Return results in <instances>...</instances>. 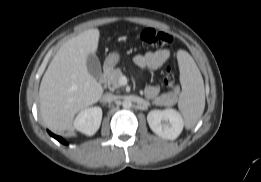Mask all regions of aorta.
<instances>
[{
  "mask_svg": "<svg viewBox=\"0 0 261 182\" xmlns=\"http://www.w3.org/2000/svg\"><path fill=\"white\" fill-rule=\"evenodd\" d=\"M122 107L125 109H129L132 107V102L130 99H124L122 102Z\"/></svg>",
  "mask_w": 261,
  "mask_h": 182,
  "instance_id": "aorta-1",
  "label": "aorta"
}]
</instances>
